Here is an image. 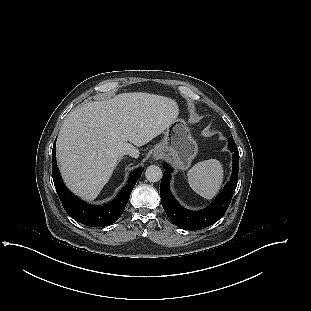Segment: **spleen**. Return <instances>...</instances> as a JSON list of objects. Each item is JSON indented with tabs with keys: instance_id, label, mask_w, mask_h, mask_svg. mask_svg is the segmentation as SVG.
<instances>
[{
	"instance_id": "1",
	"label": "spleen",
	"mask_w": 311,
	"mask_h": 311,
	"mask_svg": "<svg viewBox=\"0 0 311 311\" xmlns=\"http://www.w3.org/2000/svg\"><path fill=\"white\" fill-rule=\"evenodd\" d=\"M192 190L205 199H212L223 182V167L216 159L196 163L187 173Z\"/></svg>"
}]
</instances>
